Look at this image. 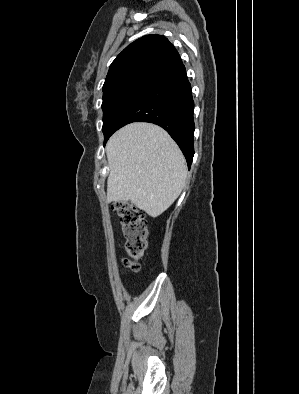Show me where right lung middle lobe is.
Listing matches in <instances>:
<instances>
[{
  "mask_svg": "<svg viewBox=\"0 0 299 394\" xmlns=\"http://www.w3.org/2000/svg\"><path fill=\"white\" fill-rule=\"evenodd\" d=\"M148 87L146 84H125L103 92L104 142L110 137L123 113Z\"/></svg>",
  "mask_w": 299,
  "mask_h": 394,
  "instance_id": "1",
  "label": "right lung middle lobe"
}]
</instances>
